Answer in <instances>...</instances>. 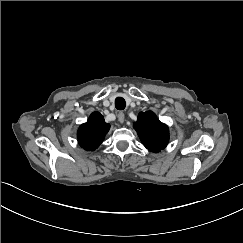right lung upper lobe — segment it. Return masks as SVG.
Masks as SVG:
<instances>
[{
    "label": "right lung upper lobe",
    "instance_id": "cb5924a9",
    "mask_svg": "<svg viewBox=\"0 0 243 243\" xmlns=\"http://www.w3.org/2000/svg\"><path fill=\"white\" fill-rule=\"evenodd\" d=\"M110 125L99 112H93L88 121L82 124L77 133L78 142L87 151L95 150L104 140Z\"/></svg>",
    "mask_w": 243,
    "mask_h": 243
}]
</instances>
